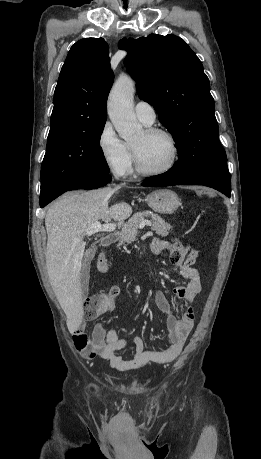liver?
Wrapping results in <instances>:
<instances>
[{
	"label": "liver",
	"mask_w": 261,
	"mask_h": 459,
	"mask_svg": "<svg viewBox=\"0 0 261 459\" xmlns=\"http://www.w3.org/2000/svg\"><path fill=\"white\" fill-rule=\"evenodd\" d=\"M119 188L69 192L50 206L45 216L47 230L46 265L51 286L73 333L80 326L84 311L80 270L85 256L83 237L87 228L102 220H124L132 213L126 202L108 206ZM79 239L80 242L75 240Z\"/></svg>",
	"instance_id": "obj_1"
}]
</instances>
